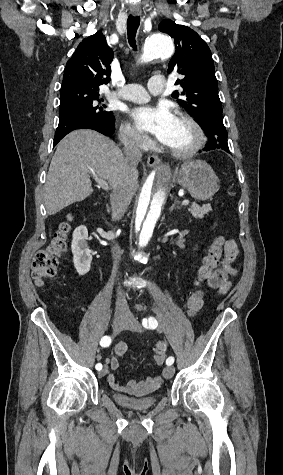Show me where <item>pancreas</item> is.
Returning a JSON list of instances; mask_svg holds the SVG:
<instances>
[{
  "label": "pancreas",
  "instance_id": "obj_1",
  "mask_svg": "<svg viewBox=\"0 0 283 475\" xmlns=\"http://www.w3.org/2000/svg\"><path fill=\"white\" fill-rule=\"evenodd\" d=\"M212 210L211 206H207V204H203V206H199V204H192L190 208H188V212L194 216V218H204L205 214H208Z\"/></svg>",
  "mask_w": 283,
  "mask_h": 475
}]
</instances>
